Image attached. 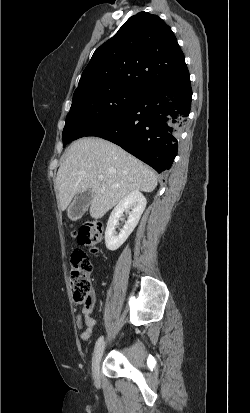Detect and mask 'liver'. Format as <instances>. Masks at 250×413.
<instances>
[{"mask_svg": "<svg viewBox=\"0 0 250 413\" xmlns=\"http://www.w3.org/2000/svg\"><path fill=\"white\" fill-rule=\"evenodd\" d=\"M99 176L103 179L99 180ZM55 183L62 211L74 196L90 190V216L98 219L128 193L152 192L157 175L119 146L102 138L84 137L67 150Z\"/></svg>", "mask_w": 250, "mask_h": 413, "instance_id": "obj_1", "label": "liver"}]
</instances>
